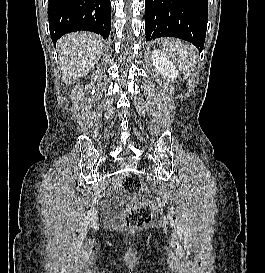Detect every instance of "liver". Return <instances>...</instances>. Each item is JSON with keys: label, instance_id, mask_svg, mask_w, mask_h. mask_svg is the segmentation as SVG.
Wrapping results in <instances>:
<instances>
[{"label": "liver", "instance_id": "obj_1", "mask_svg": "<svg viewBox=\"0 0 265 273\" xmlns=\"http://www.w3.org/2000/svg\"><path fill=\"white\" fill-rule=\"evenodd\" d=\"M60 53L62 81L71 83L84 75L98 62L103 49L100 36L77 32L63 36L57 43Z\"/></svg>", "mask_w": 265, "mask_h": 273}]
</instances>
